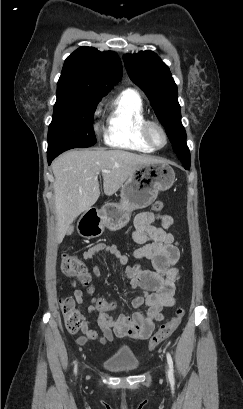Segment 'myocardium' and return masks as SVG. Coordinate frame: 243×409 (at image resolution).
Masks as SVG:
<instances>
[{
  "instance_id": "f54148a6",
  "label": "myocardium",
  "mask_w": 243,
  "mask_h": 409,
  "mask_svg": "<svg viewBox=\"0 0 243 409\" xmlns=\"http://www.w3.org/2000/svg\"><path fill=\"white\" fill-rule=\"evenodd\" d=\"M153 128H157L159 129L163 136H164V143L162 145H158L154 138H153V134H152V130ZM143 135L144 138L146 139V141L154 148V149H163L168 145L169 142V137H168V133L167 130L165 129V127L158 121L155 120H146L144 125H143Z\"/></svg>"
}]
</instances>
